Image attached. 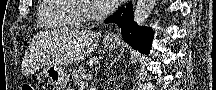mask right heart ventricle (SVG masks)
<instances>
[{
    "instance_id": "1",
    "label": "right heart ventricle",
    "mask_w": 216,
    "mask_h": 90,
    "mask_svg": "<svg viewBox=\"0 0 216 90\" xmlns=\"http://www.w3.org/2000/svg\"><path fill=\"white\" fill-rule=\"evenodd\" d=\"M78 0H42L37 16L40 28H87L84 19H73L77 15Z\"/></svg>"
}]
</instances>
